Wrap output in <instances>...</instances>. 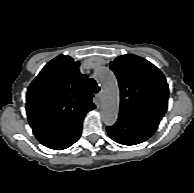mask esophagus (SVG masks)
I'll list each match as a JSON object with an SVG mask.
<instances>
[{"label": "esophagus", "instance_id": "esophagus-1", "mask_svg": "<svg viewBox=\"0 0 194 193\" xmlns=\"http://www.w3.org/2000/svg\"><path fill=\"white\" fill-rule=\"evenodd\" d=\"M102 98H103V91L99 92V94H98V99L102 100Z\"/></svg>", "mask_w": 194, "mask_h": 193}]
</instances>
